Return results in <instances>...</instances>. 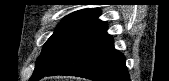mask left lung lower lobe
Masks as SVG:
<instances>
[{
  "mask_svg": "<svg viewBox=\"0 0 169 81\" xmlns=\"http://www.w3.org/2000/svg\"><path fill=\"white\" fill-rule=\"evenodd\" d=\"M107 24L96 20L68 44L52 68L30 81L45 76L70 75L93 81H130L122 53L113 46Z\"/></svg>",
  "mask_w": 169,
  "mask_h": 81,
  "instance_id": "obj_1",
  "label": "left lung lower lobe"
}]
</instances>
